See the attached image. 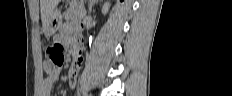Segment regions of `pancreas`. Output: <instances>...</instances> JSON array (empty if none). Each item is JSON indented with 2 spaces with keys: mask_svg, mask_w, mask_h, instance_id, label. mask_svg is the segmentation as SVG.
I'll use <instances>...</instances> for the list:
<instances>
[{
  "mask_svg": "<svg viewBox=\"0 0 232 96\" xmlns=\"http://www.w3.org/2000/svg\"><path fill=\"white\" fill-rule=\"evenodd\" d=\"M83 8L80 5H71L70 8L63 14L66 20L81 18Z\"/></svg>",
  "mask_w": 232,
  "mask_h": 96,
  "instance_id": "1",
  "label": "pancreas"
}]
</instances>
